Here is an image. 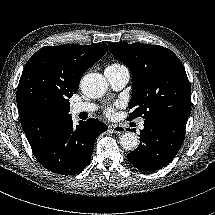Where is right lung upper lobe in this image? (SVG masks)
Wrapping results in <instances>:
<instances>
[{"label":"right lung upper lobe","mask_w":215,"mask_h":215,"mask_svg":"<svg viewBox=\"0 0 215 215\" xmlns=\"http://www.w3.org/2000/svg\"><path fill=\"white\" fill-rule=\"evenodd\" d=\"M107 52V45L45 46L26 63L16 100L22 129L33 152L69 114L82 75Z\"/></svg>","instance_id":"cb5924a9"}]
</instances>
